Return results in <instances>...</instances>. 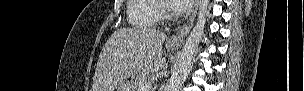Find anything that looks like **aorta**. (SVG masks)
Here are the masks:
<instances>
[{
	"label": "aorta",
	"mask_w": 304,
	"mask_h": 91,
	"mask_svg": "<svg viewBox=\"0 0 304 91\" xmlns=\"http://www.w3.org/2000/svg\"><path fill=\"white\" fill-rule=\"evenodd\" d=\"M209 0H199L197 22L186 39L181 56L168 84L167 91H179L188 76L204 34Z\"/></svg>",
	"instance_id": "1"
}]
</instances>
